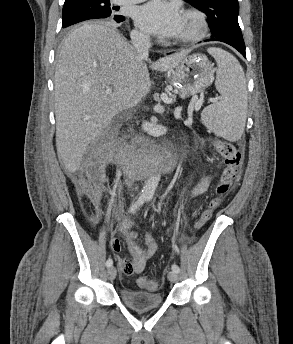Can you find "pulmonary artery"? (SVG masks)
I'll list each match as a JSON object with an SVG mask.
<instances>
[{
	"mask_svg": "<svg viewBox=\"0 0 293 344\" xmlns=\"http://www.w3.org/2000/svg\"><path fill=\"white\" fill-rule=\"evenodd\" d=\"M117 4H136L145 0H113Z\"/></svg>",
	"mask_w": 293,
	"mask_h": 344,
	"instance_id": "1",
	"label": "pulmonary artery"
}]
</instances>
